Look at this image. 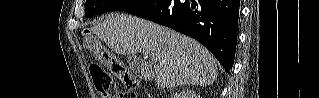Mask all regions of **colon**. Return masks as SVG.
Returning a JSON list of instances; mask_svg holds the SVG:
<instances>
[{"label":"colon","mask_w":319,"mask_h":98,"mask_svg":"<svg viewBox=\"0 0 319 98\" xmlns=\"http://www.w3.org/2000/svg\"><path fill=\"white\" fill-rule=\"evenodd\" d=\"M82 44L85 49L92 51L99 61L106 64L111 71V74H109L98 65L90 67L94 86L101 96L103 98H135L132 91L138 88V79L122 63L117 61L107 49L102 47L89 31H84ZM115 78L120 79L129 91L117 94Z\"/></svg>","instance_id":"1"}]
</instances>
